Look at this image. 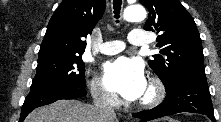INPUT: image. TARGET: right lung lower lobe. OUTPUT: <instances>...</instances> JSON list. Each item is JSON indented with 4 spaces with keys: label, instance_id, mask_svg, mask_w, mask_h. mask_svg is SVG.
I'll use <instances>...</instances> for the list:
<instances>
[{
    "label": "right lung lower lobe",
    "instance_id": "obj_1",
    "mask_svg": "<svg viewBox=\"0 0 221 122\" xmlns=\"http://www.w3.org/2000/svg\"><path fill=\"white\" fill-rule=\"evenodd\" d=\"M85 88L72 85H58L30 90V93L25 98L19 122H22L37 107L53 103L60 99H75L85 96L87 94Z\"/></svg>",
    "mask_w": 221,
    "mask_h": 122
}]
</instances>
